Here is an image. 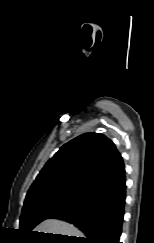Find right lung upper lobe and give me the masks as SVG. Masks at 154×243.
Returning <instances> with one entry per match:
<instances>
[{
	"label": "right lung upper lobe",
	"mask_w": 154,
	"mask_h": 243,
	"mask_svg": "<svg viewBox=\"0 0 154 243\" xmlns=\"http://www.w3.org/2000/svg\"><path fill=\"white\" fill-rule=\"evenodd\" d=\"M124 174L123 159L110 139L98 133L82 134L46 163L25 202L51 195L88 199Z\"/></svg>",
	"instance_id": "right-lung-upper-lobe-1"
}]
</instances>
